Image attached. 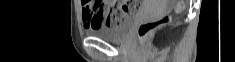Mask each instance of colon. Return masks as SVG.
I'll return each instance as SVG.
<instances>
[{
  "label": "colon",
  "instance_id": "5ec220e1",
  "mask_svg": "<svg viewBox=\"0 0 235 62\" xmlns=\"http://www.w3.org/2000/svg\"><path fill=\"white\" fill-rule=\"evenodd\" d=\"M132 4L134 5L133 7L134 11L138 10V5L135 3H132ZM99 6L103 8L101 5ZM182 9H183V2L178 1L176 5V10L181 11ZM123 15H124V9L122 6L118 4L112 5L110 7V13L108 16L107 25L109 26L117 25L120 22ZM168 19H169L168 17H163L158 20L147 21V22L142 23L138 28L139 39L141 41L145 40L149 36L150 33H152L155 29L165 24L168 21Z\"/></svg>",
  "mask_w": 235,
  "mask_h": 62
}]
</instances>
